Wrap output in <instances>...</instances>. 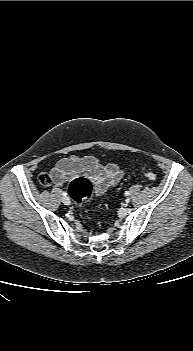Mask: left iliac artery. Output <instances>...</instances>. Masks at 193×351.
Masks as SVG:
<instances>
[{
  "label": "left iliac artery",
  "instance_id": "1",
  "mask_svg": "<svg viewBox=\"0 0 193 351\" xmlns=\"http://www.w3.org/2000/svg\"><path fill=\"white\" fill-rule=\"evenodd\" d=\"M130 193L128 191L125 192V195L128 196Z\"/></svg>",
  "mask_w": 193,
  "mask_h": 351
}]
</instances>
